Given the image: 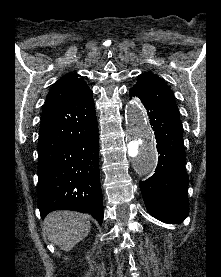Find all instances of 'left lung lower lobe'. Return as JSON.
I'll list each match as a JSON object with an SVG mask.
<instances>
[{
  "label": "left lung lower lobe",
  "instance_id": "obj_1",
  "mask_svg": "<svg viewBox=\"0 0 221 277\" xmlns=\"http://www.w3.org/2000/svg\"><path fill=\"white\" fill-rule=\"evenodd\" d=\"M129 95L139 97L144 104L160 154L155 174L140 181L145 205L156 219L164 223H180L189 214L182 123L140 90L132 87Z\"/></svg>",
  "mask_w": 221,
  "mask_h": 277
}]
</instances>
